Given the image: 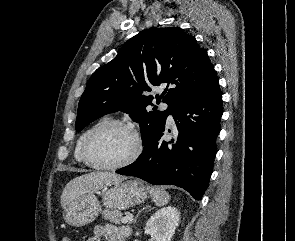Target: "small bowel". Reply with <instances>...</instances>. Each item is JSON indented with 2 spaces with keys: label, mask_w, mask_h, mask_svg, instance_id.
Segmentation results:
<instances>
[{
  "label": "small bowel",
  "mask_w": 295,
  "mask_h": 241,
  "mask_svg": "<svg viewBox=\"0 0 295 241\" xmlns=\"http://www.w3.org/2000/svg\"><path fill=\"white\" fill-rule=\"evenodd\" d=\"M131 234L128 227H117L112 224L97 225L94 228L93 235L87 241H127ZM62 241H67L63 239Z\"/></svg>",
  "instance_id": "1"
}]
</instances>
